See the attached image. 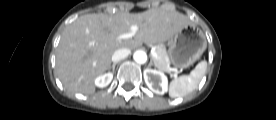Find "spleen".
Instances as JSON below:
<instances>
[{
  "label": "spleen",
  "instance_id": "3e777b00",
  "mask_svg": "<svg viewBox=\"0 0 276 120\" xmlns=\"http://www.w3.org/2000/svg\"><path fill=\"white\" fill-rule=\"evenodd\" d=\"M207 68V62L201 61L189 75H182L170 83L169 95L172 98L183 97L197 88Z\"/></svg>",
  "mask_w": 276,
  "mask_h": 120
}]
</instances>
